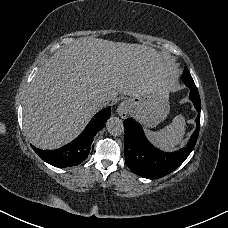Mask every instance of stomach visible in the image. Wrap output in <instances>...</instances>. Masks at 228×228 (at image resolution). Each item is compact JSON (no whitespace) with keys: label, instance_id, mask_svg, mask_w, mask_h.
I'll return each mask as SVG.
<instances>
[{"label":"stomach","instance_id":"stomach-1","mask_svg":"<svg viewBox=\"0 0 228 228\" xmlns=\"http://www.w3.org/2000/svg\"><path fill=\"white\" fill-rule=\"evenodd\" d=\"M130 112L144 121L148 127H154L168 113L167 96L155 90L154 93L146 92L143 95L128 98L126 100Z\"/></svg>","mask_w":228,"mask_h":228}]
</instances>
